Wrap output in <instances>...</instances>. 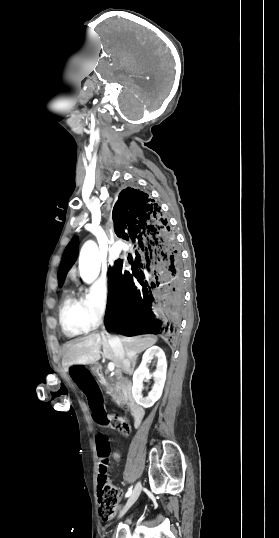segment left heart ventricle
I'll list each match as a JSON object with an SVG mask.
<instances>
[{
    "label": "left heart ventricle",
    "mask_w": 279,
    "mask_h": 538,
    "mask_svg": "<svg viewBox=\"0 0 279 538\" xmlns=\"http://www.w3.org/2000/svg\"><path fill=\"white\" fill-rule=\"evenodd\" d=\"M81 208H84V207H71L72 210H79ZM98 218V215H95L94 216V220H96ZM84 219V217H79V218H74V222H81L82 220Z\"/></svg>",
    "instance_id": "obj_1"
}]
</instances>
